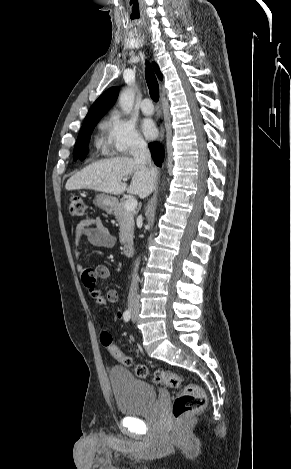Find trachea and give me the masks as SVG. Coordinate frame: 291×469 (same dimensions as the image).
<instances>
[{
    "instance_id": "trachea-1",
    "label": "trachea",
    "mask_w": 291,
    "mask_h": 469,
    "mask_svg": "<svg viewBox=\"0 0 291 469\" xmlns=\"http://www.w3.org/2000/svg\"><path fill=\"white\" fill-rule=\"evenodd\" d=\"M145 77L150 96L153 101L157 102L159 100V84L148 62H146Z\"/></svg>"
}]
</instances>
